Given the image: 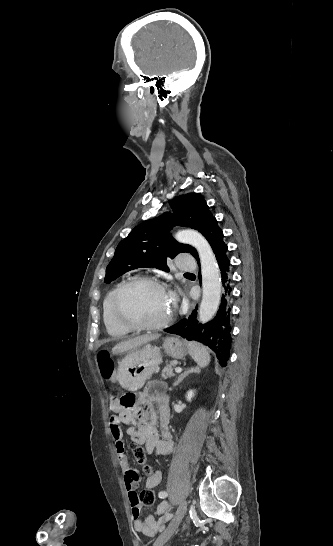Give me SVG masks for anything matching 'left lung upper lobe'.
<instances>
[{"label": "left lung upper lobe", "instance_id": "obj_1", "mask_svg": "<svg viewBox=\"0 0 333 546\" xmlns=\"http://www.w3.org/2000/svg\"><path fill=\"white\" fill-rule=\"evenodd\" d=\"M173 213L146 220L136 226L115 250L106 268L104 281L110 283L124 273L136 268H150L169 272L168 260L177 254L189 252L197 255L195 248L178 243L169 231L173 226L191 227L207 239L215 217L203 197L195 193L180 195L170 201Z\"/></svg>", "mask_w": 333, "mask_h": 546}]
</instances>
